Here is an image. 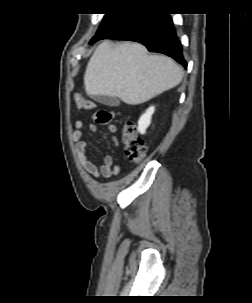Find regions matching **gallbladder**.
<instances>
[{"label":"gallbladder","instance_id":"bac80fb5","mask_svg":"<svg viewBox=\"0 0 252 303\" xmlns=\"http://www.w3.org/2000/svg\"><path fill=\"white\" fill-rule=\"evenodd\" d=\"M93 99L98 103H101L103 105H107L110 107H117L120 105L119 98L114 97V96L96 95V96H93Z\"/></svg>","mask_w":252,"mask_h":303}]
</instances>
